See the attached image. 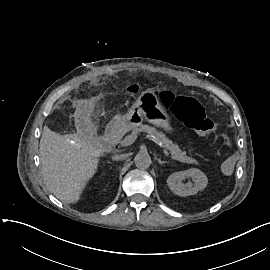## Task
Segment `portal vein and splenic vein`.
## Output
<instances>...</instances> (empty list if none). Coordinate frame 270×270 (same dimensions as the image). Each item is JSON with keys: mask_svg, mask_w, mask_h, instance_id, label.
<instances>
[{"mask_svg": "<svg viewBox=\"0 0 270 270\" xmlns=\"http://www.w3.org/2000/svg\"><path fill=\"white\" fill-rule=\"evenodd\" d=\"M138 139L139 140H142L143 139V136L142 135H139L138 137L137 136H134V135L128 136L127 137V142L128 143H131V144H134V143H136V141ZM159 146L160 147H163V145L161 143H159ZM163 153L167 156L168 159H171V155L169 154V152L166 149H163Z\"/></svg>", "mask_w": 270, "mask_h": 270, "instance_id": "18ae733b", "label": "portal vein and splenic vein"}]
</instances>
